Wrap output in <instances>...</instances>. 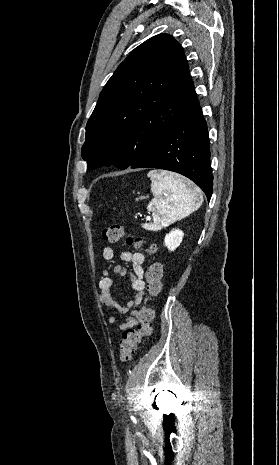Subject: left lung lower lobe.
I'll return each instance as SVG.
<instances>
[{
  "label": "left lung lower lobe",
  "mask_w": 279,
  "mask_h": 465,
  "mask_svg": "<svg viewBox=\"0 0 279 465\" xmlns=\"http://www.w3.org/2000/svg\"><path fill=\"white\" fill-rule=\"evenodd\" d=\"M131 168H159L180 173L195 182L210 200L213 175L210 144L195 89L168 131Z\"/></svg>",
  "instance_id": "1"
}]
</instances>
